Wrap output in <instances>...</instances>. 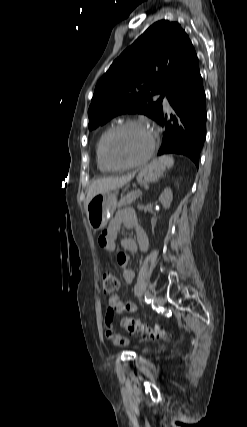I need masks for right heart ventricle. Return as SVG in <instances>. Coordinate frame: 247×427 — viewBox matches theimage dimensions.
Instances as JSON below:
<instances>
[{
  "mask_svg": "<svg viewBox=\"0 0 247 427\" xmlns=\"http://www.w3.org/2000/svg\"><path fill=\"white\" fill-rule=\"evenodd\" d=\"M112 128L113 127H109L101 133V135H100V137L96 143V146H95L96 163H97L98 169L103 173H109V172L115 171L106 163V161L103 157L104 139Z\"/></svg>",
  "mask_w": 247,
  "mask_h": 427,
  "instance_id": "right-heart-ventricle-1",
  "label": "right heart ventricle"
}]
</instances>
